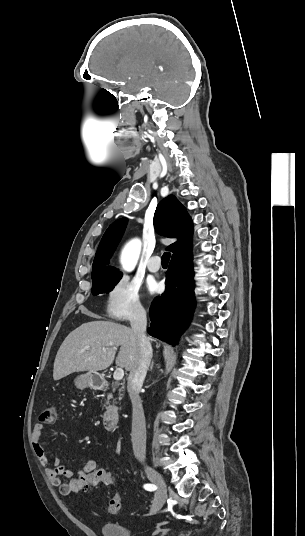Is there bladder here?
I'll return each mask as SVG.
<instances>
[{"label":"bladder","mask_w":305,"mask_h":536,"mask_svg":"<svg viewBox=\"0 0 305 536\" xmlns=\"http://www.w3.org/2000/svg\"><path fill=\"white\" fill-rule=\"evenodd\" d=\"M99 529L102 536H138L134 533L133 527L123 523H108L102 521L99 525Z\"/></svg>","instance_id":"obj_1"}]
</instances>
